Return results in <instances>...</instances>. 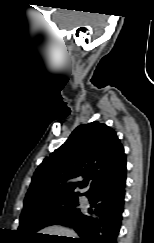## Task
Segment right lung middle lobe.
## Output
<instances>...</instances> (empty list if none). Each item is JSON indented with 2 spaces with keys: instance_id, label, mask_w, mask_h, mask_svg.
Listing matches in <instances>:
<instances>
[{
  "instance_id": "obj_1",
  "label": "right lung middle lobe",
  "mask_w": 154,
  "mask_h": 243,
  "mask_svg": "<svg viewBox=\"0 0 154 243\" xmlns=\"http://www.w3.org/2000/svg\"><path fill=\"white\" fill-rule=\"evenodd\" d=\"M80 195H65L24 207L18 231L24 238H32L43 227L57 224L62 218L78 212Z\"/></svg>"
}]
</instances>
